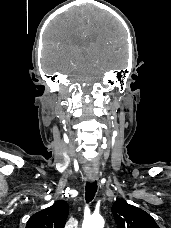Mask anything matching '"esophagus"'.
<instances>
[{
	"label": "esophagus",
	"instance_id": "34e87169",
	"mask_svg": "<svg viewBox=\"0 0 171 228\" xmlns=\"http://www.w3.org/2000/svg\"><path fill=\"white\" fill-rule=\"evenodd\" d=\"M96 179H97V176L96 175H90V176H88L89 182H94Z\"/></svg>",
	"mask_w": 171,
	"mask_h": 228
}]
</instances>
